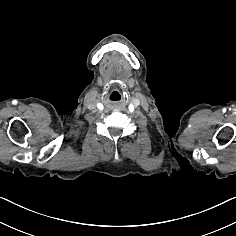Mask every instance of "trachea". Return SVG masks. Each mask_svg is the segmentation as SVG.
Returning a JSON list of instances; mask_svg holds the SVG:
<instances>
[{
  "label": "trachea",
  "instance_id": "trachea-1",
  "mask_svg": "<svg viewBox=\"0 0 236 236\" xmlns=\"http://www.w3.org/2000/svg\"><path fill=\"white\" fill-rule=\"evenodd\" d=\"M109 98L114 102H119L123 98V93L120 90L112 89L109 92Z\"/></svg>",
  "mask_w": 236,
  "mask_h": 236
}]
</instances>
